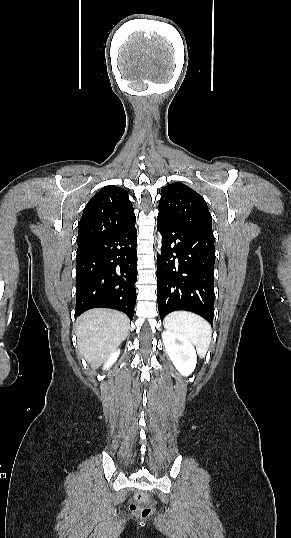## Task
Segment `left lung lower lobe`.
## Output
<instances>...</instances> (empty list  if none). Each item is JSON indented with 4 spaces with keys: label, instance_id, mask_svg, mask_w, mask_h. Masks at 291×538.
I'll return each instance as SVG.
<instances>
[{
    "label": "left lung lower lobe",
    "instance_id": "obj_1",
    "mask_svg": "<svg viewBox=\"0 0 291 538\" xmlns=\"http://www.w3.org/2000/svg\"><path fill=\"white\" fill-rule=\"evenodd\" d=\"M162 234L157 260V298L160 318L176 310L194 312L213 324L214 264L213 233L175 224L160 215Z\"/></svg>",
    "mask_w": 291,
    "mask_h": 538
}]
</instances>
